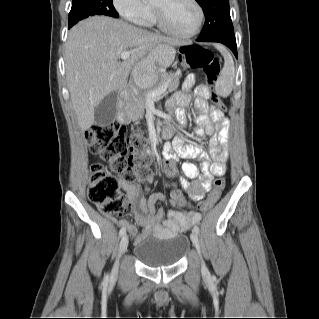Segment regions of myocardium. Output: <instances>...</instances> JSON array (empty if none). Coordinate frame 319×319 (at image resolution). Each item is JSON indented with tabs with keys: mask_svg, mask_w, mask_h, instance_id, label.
Listing matches in <instances>:
<instances>
[{
	"mask_svg": "<svg viewBox=\"0 0 319 319\" xmlns=\"http://www.w3.org/2000/svg\"><path fill=\"white\" fill-rule=\"evenodd\" d=\"M194 7L197 10V21L195 24V27L192 31L188 32V33H180L177 32L176 30L172 29L166 22L165 20V16L163 13V10L161 8H158L156 6H152L153 8V12H154V16L155 19L158 23V26L165 31L166 33L176 37V38H180V39H189L194 37L200 30L202 23H203V19H204V11L202 6L200 5V3L198 2V0H189Z\"/></svg>",
	"mask_w": 319,
	"mask_h": 319,
	"instance_id": "1",
	"label": "myocardium"
}]
</instances>
